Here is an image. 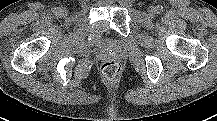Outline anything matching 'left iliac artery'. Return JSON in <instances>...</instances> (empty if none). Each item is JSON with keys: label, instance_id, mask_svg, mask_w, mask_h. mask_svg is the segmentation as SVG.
Wrapping results in <instances>:
<instances>
[{"label": "left iliac artery", "instance_id": "left-iliac-artery-1", "mask_svg": "<svg viewBox=\"0 0 217 121\" xmlns=\"http://www.w3.org/2000/svg\"><path fill=\"white\" fill-rule=\"evenodd\" d=\"M156 11L158 14H160L163 11V7L161 5H158Z\"/></svg>", "mask_w": 217, "mask_h": 121}]
</instances>
